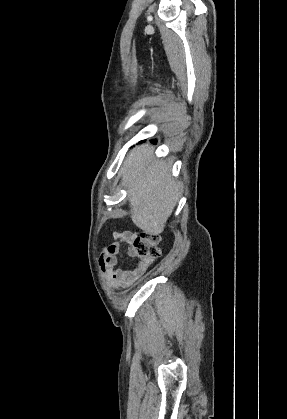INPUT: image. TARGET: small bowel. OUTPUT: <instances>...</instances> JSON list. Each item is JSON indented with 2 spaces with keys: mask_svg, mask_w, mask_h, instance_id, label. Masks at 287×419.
Here are the masks:
<instances>
[{
  "mask_svg": "<svg viewBox=\"0 0 287 419\" xmlns=\"http://www.w3.org/2000/svg\"><path fill=\"white\" fill-rule=\"evenodd\" d=\"M134 236L135 234L132 231L112 232V242L104 247L100 255L99 265L116 287L131 286L137 280L142 271L140 266L134 270L116 268L118 263V254L120 253L123 244L129 245L128 255L130 257L134 256L130 247V242Z\"/></svg>",
  "mask_w": 287,
  "mask_h": 419,
  "instance_id": "small-bowel-1",
  "label": "small bowel"
}]
</instances>
